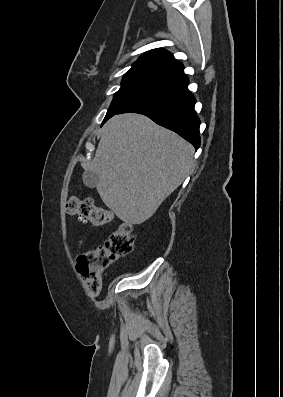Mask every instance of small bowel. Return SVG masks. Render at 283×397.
I'll list each match as a JSON object with an SVG mask.
<instances>
[{
  "mask_svg": "<svg viewBox=\"0 0 283 397\" xmlns=\"http://www.w3.org/2000/svg\"><path fill=\"white\" fill-rule=\"evenodd\" d=\"M85 241H86V237H82V238L78 241L77 247H76L77 250H79V249L84 245Z\"/></svg>",
  "mask_w": 283,
  "mask_h": 397,
  "instance_id": "obj_1",
  "label": "small bowel"
}]
</instances>
